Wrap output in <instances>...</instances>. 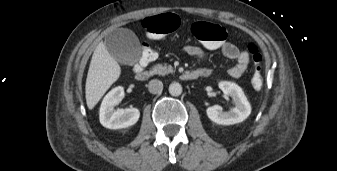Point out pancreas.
<instances>
[{
	"label": "pancreas",
	"mask_w": 337,
	"mask_h": 171,
	"mask_svg": "<svg viewBox=\"0 0 337 171\" xmlns=\"http://www.w3.org/2000/svg\"><path fill=\"white\" fill-rule=\"evenodd\" d=\"M173 72H174V70L171 66L167 67V66L162 65V64L155 65L151 70L152 74H158V75H165V74L173 73Z\"/></svg>",
	"instance_id": "pancreas-1"
}]
</instances>
